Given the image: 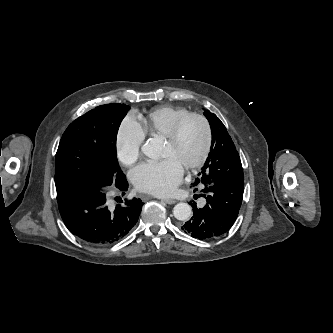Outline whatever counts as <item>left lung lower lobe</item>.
Returning <instances> with one entry per match:
<instances>
[{
  "instance_id": "1",
  "label": "left lung lower lobe",
  "mask_w": 333,
  "mask_h": 333,
  "mask_svg": "<svg viewBox=\"0 0 333 333\" xmlns=\"http://www.w3.org/2000/svg\"><path fill=\"white\" fill-rule=\"evenodd\" d=\"M243 184H213L196 179L193 186L201 185L200 196L206 199V205L199 208L196 202H191L193 216L182 230L200 240L213 239L227 232L238 216L244 192Z\"/></svg>"
}]
</instances>
